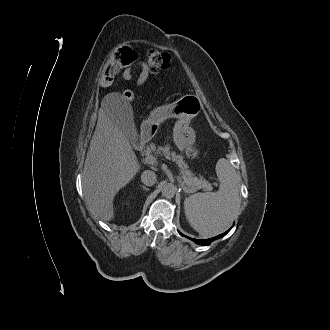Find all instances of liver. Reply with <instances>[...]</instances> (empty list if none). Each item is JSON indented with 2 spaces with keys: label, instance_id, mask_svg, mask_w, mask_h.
<instances>
[{
  "label": "liver",
  "instance_id": "liver-1",
  "mask_svg": "<svg viewBox=\"0 0 330 330\" xmlns=\"http://www.w3.org/2000/svg\"><path fill=\"white\" fill-rule=\"evenodd\" d=\"M149 121V120H148ZM148 121L142 123V132ZM141 165L115 115L102 105L84 163L82 187L91 212L103 221L114 218L116 193L140 171Z\"/></svg>",
  "mask_w": 330,
  "mask_h": 330
}]
</instances>
